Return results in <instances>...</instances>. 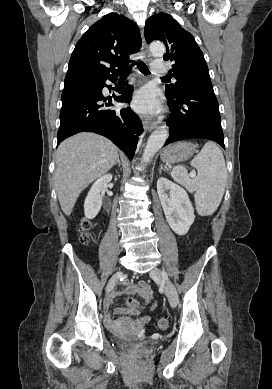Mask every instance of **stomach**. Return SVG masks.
<instances>
[{
  "label": "stomach",
  "mask_w": 272,
  "mask_h": 389,
  "mask_svg": "<svg viewBox=\"0 0 272 389\" xmlns=\"http://www.w3.org/2000/svg\"><path fill=\"white\" fill-rule=\"evenodd\" d=\"M196 152V145L191 142L173 143L161 152V159L166 162H182L189 159Z\"/></svg>",
  "instance_id": "stomach-1"
}]
</instances>
